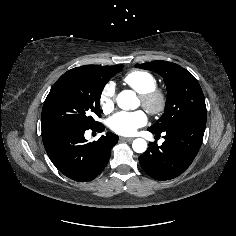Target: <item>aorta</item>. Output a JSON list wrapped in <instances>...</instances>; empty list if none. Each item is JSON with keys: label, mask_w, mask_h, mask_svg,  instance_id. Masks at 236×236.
<instances>
[{"label": "aorta", "mask_w": 236, "mask_h": 236, "mask_svg": "<svg viewBox=\"0 0 236 236\" xmlns=\"http://www.w3.org/2000/svg\"><path fill=\"white\" fill-rule=\"evenodd\" d=\"M131 98L132 92L124 90L117 96L116 101L120 108H128ZM132 148L136 153H144L147 150V142L142 138H137L133 141Z\"/></svg>", "instance_id": "1"}]
</instances>
